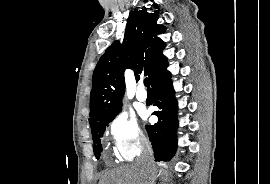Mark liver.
<instances>
[{
    "instance_id": "1",
    "label": "liver",
    "mask_w": 270,
    "mask_h": 184,
    "mask_svg": "<svg viewBox=\"0 0 270 184\" xmlns=\"http://www.w3.org/2000/svg\"><path fill=\"white\" fill-rule=\"evenodd\" d=\"M149 172L142 167L124 166L107 171L99 184H146Z\"/></svg>"
}]
</instances>
